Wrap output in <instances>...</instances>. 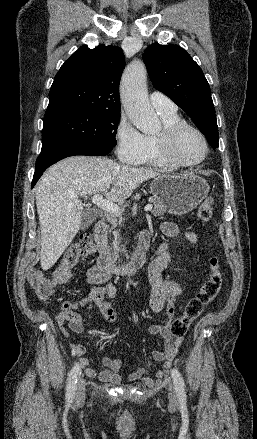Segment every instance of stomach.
I'll return each mask as SVG.
<instances>
[{
	"label": "stomach",
	"mask_w": 257,
	"mask_h": 439,
	"mask_svg": "<svg viewBox=\"0 0 257 439\" xmlns=\"http://www.w3.org/2000/svg\"><path fill=\"white\" fill-rule=\"evenodd\" d=\"M151 193L174 215L193 211L208 195L207 181L195 174L160 175L150 186Z\"/></svg>",
	"instance_id": "stomach-1"
}]
</instances>
